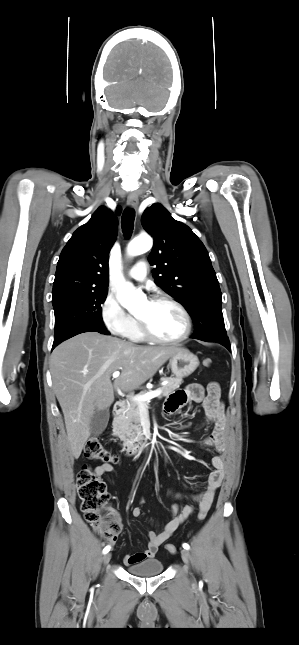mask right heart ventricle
<instances>
[{"label":"right heart ventricle","mask_w":299,"mask_h":645,"mask_svg":"<svg viewBox=\"0 0 299 645\" xmlns=\"http://www.w3.org/2000/svg\"><path fill=\"white\" fill-rule=\"evenodd\" d=\"M129 340L134 342H142L145 340L140 332L137 321L134 319L133 324L127 334L125 335Z\"/></svg>","instance_id":"e07e8e85"}]
</instances>
